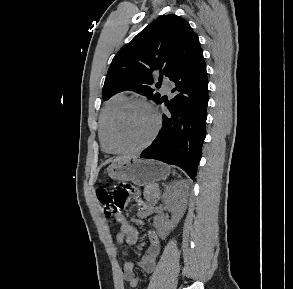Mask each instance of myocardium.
I'll return each mask as SVG.
<instances>
[{
  "label": "myocardium",
  "instance_id": "myocardium-1",
  "mask_svg": "<svg viewBox=\"0 0 293 289\" xmlns=\"http://www.w3.org/2000/svg\"><path fill=\"white\" fill-rule=\"evenodd\" d=\"M136 104H141L144 105L146 107H148L155 118V126L154 129L151 133V135L149 136V138L140 146H137L135 148H119L114 144L113 141V131H114V127H115V123L118 120V118L125 112V110H127L129 107L136 105ZM161 125H162V120H161V116L158 112V110L148 101L143 100V99H138V98H134V99H129L126 100L112 115L108 127H107V132H106V144H107V151L111 154H131V153H136L139 151L144 150L145 148H147L149 145L152 144V142L155 140V138L157 137L160 129H161Z\"/></svg>",
  "mask_w": 293,
  "mask_h": 289
}]
</instances>
